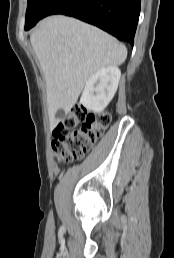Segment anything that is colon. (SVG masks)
Here are the masks:
<instances>
[{
  "label": "colon",
  "mask_w": 174,
  "mask_h": 258,
  "mask_svg": "<svg viewBox=\"0 0 174 258\" xmlns=\"http://www.w3.org/2000/svg\"><path fill=\"white\" fill-rule=\"evenodd\" d=\"M110 122L108 112L87 113L81 104L74 105L53 130L55 156L63 162L82 159Z\"/></svg>",
  "instance_id": "obj_1"
}]
</instances>
